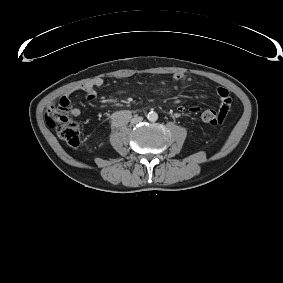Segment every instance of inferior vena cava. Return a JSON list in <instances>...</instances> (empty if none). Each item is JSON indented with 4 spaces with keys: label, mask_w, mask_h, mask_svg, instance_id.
<instances>
[{
    "label": "inferior vena cava",
    "mask_w": 283,
    "mask_h": 283,
    "mask_svg": "<svg viewBox=\"0 0 283 283\" xmlns=\"http://www.w3.org/2000/svg\"><path fill=\"white\" fill-rule=\"evenodd\" d=\"M142 120H143V118L141 116L134 117V118L131 119V123L136 124L138 122H141Z\"/></svg>",
    "instance_id": "1"
}]
</instances>
